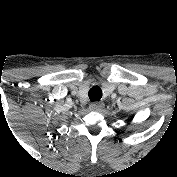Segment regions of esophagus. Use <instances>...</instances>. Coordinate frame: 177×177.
Wrapping results in <instances>:
<instances>
[{
  "mask_svg": "<svg viewBox=\"0 0 177 177\" xmlns=\"http://www.w3.org/2000/svg\"><path fill=\"white\" fill-rule=\"evenodd\" d=\"M103 107H104V103L98 101L91 103L89 106L90 110L92 111H100Z\"/></svg>",
  "mask_w": 177,
  "mask_h": 177,
  "instance_id": "obj_1",
  "label": "esophagus"
}]
</instances>
